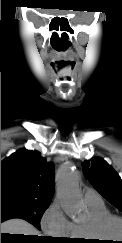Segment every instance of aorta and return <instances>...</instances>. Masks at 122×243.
Here are the masks:
<instances>
[{
	"label": "aorta",
	"instance_id": "1",
	"mask_svg": "<svg viewBox=\"0 0 122 243\" xmlns=\"http://www.w3.org/2000/svg\"><path fill=\"white\" fill-rule=\"evenodd\" d=\"M79 178L70 164L63 165L56 174L57 197L64 212L76 219L83 210L78 188Z\"/></svg>",
	"mask_w": 122,
	"mask_h": 243
}]
</instances>
